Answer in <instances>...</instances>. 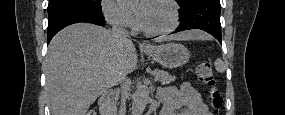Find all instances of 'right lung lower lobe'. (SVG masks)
Listing matches in <instances>:
<instances>
[{
	"label": "right lung lower lobe",
	"mask_w": 285,
	"mask_h": 115,
	"mask_svg": "<svg viewBox=\"0 0 285 115\" xmlns=\"http://www.w3.org/2000/svg\"><path fill=\"white\" fill-rule=\"evenodd\" d=\"M78 22H89L100 26L106 23L102 12L79 8L60 10L48 16V43L61 29Z\"/></svg>",
	"instance_id": "right-lung-lower-lobe-1"
}]
</instances>
